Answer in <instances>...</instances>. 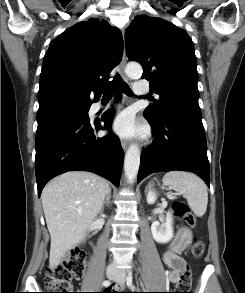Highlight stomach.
Here are the masks:
<instances>
[{
	"mask_svg": "<svg viewBox=\"0 0 245 293\" xmlns=\"http://www.w3.org/2000/svg\"><path fill=\"white\" fill-rule=\"evenodd\" d=\"M185 236H188V237H189V233L187 232V233L185 234Z\"/></svg>",
	"mask_w": 245,
	"mask_h": 293,
	"instance_id": "1",
	"label": "stomach"
}]
</instances>
